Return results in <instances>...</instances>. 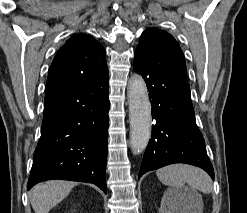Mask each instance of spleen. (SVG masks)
<instances>
[{
  "label": "spleen",
  "mask_w": 247,
  "mask_h": 213,
  "mask_svg": "<svg viewBox=\"0 0 247 213\" xmlns=\"http://www.w3.org/2000/svg\"><path fill=\"white\" fill-rule=\"evenodd\" d=\"M159 180L176 189L187 183L191 188L208 194L212 191V180L200 168L186 164H172L156 171Z\"/></svg>",
  "instance_id": "spleen-1"
}]
</instances>
